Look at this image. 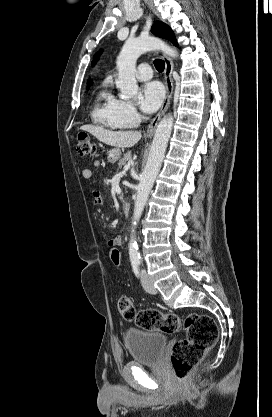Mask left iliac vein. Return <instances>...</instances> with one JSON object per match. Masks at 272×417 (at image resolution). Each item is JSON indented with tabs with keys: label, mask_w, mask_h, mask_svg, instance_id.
Listing matches in <instances>:
<instances>
[{
	"label": "left iliac vein",
	"mask_w": 272,
	"mask_h": 417,
	"mask_svg": "<svg viewBox=\"0 0 272 417\" xmlns=\"http://www.w3.org/2000/svg\"><path fill=\"white\" fill-rule=\"evenodd\" d=\"M141 282L144 290L150 294H156L157 290L155 289L154 285L151 283L148 274L145 270L141 272Z\"/></svg>",
	"instance_id": "1"
}]
</instances>
